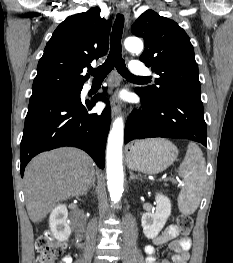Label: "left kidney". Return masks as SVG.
<instances>
[{
  "label": "left kidney",
  "mask_w": 233,
  "mask_h": 263,
  "mask_svg": "<svg viewBox=\"0 0 233 263\" xmlns=\"http://www.w3.org/2000/svg\"><path fill=\"white\" fill-rule=\"evenodd\" d=\"M155 213H145L141 218L143 233L148 239H154L164 227L171 214L170 199L162 194L156 195Z\"/></svg>",
  "instance_id": "5707ae66"
}]
</instances>
